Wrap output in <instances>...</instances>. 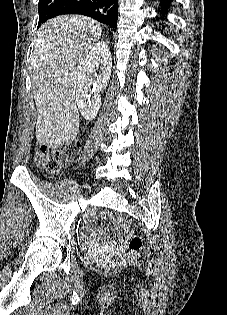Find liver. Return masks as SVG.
I'll return each instance as SVG.
<instances>
[{
    "instance_id": "liver-1",
    "label": "liver",
    "mask_w": 227,
    "mask_h": 315,
    "mask_svg": "<svg viewBox=\"0 0 227 315\" xmlns=\"http://www.w3.org/2000/svg\"><path fill=\"white\" fill-rule=\"evenodd\" d=\"M101 35L100 23L81 15L58 16L40 27L31 59L38 113L36 139L40 144L56 147L76 138L77 78L89 50Z\"/></svg>"
}]
</instances>
